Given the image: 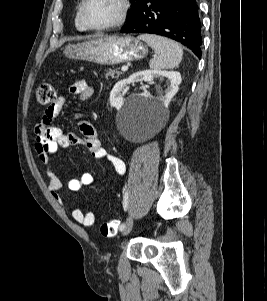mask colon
I'll return each instance as SVG.
<instances>
[{
    "mask_svg": "<svg viewBox=\"0 0 267 301\" xmlns=\"http://www.w3.org/2000/svg\"><path fill=\"white\" fill-rule=\"evenodd\" d=\"M57 96V90L55 86L50 82L42 83L38 86L36 90V101L38 104L47 106L52 105ZM118 230V221L111 220L102 223L100 227V232L105 237L113 236L117 233Z\"/></svg>",
    "mask_w": 267,
    "mask_h": 301,
    "instance_id": "5ec220e1",
    "label": "colon"
}]
</instances>
